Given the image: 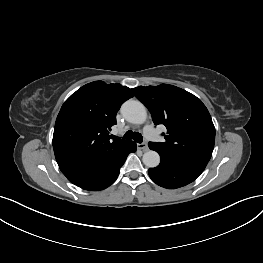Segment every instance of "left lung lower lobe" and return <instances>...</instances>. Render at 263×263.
<instances>
[{"label": "left lung lower lobe", "mask_w": 263, "mask_h": 263, "mask_svg": "<svg viewBox=\"0 0 263 263\" xmlns=\"http://www.w3.org/2000/svg\"><path fill=\"white\" fill-rule=\"evenodd\" d=\"M202 171L161 159L159 166L150 168L148 173L150 178L159 186L175 189L193 182Z\"/></svg>", "instance_id": "0a47b994"}]
</instances>
